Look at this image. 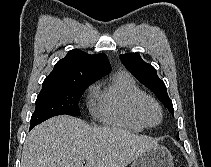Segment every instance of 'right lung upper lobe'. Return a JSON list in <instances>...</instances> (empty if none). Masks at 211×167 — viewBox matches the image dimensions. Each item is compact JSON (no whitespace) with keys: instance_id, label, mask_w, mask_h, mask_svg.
Listing matches in <instances>:
<instances>
[{"instance_id":"cb5924a9","label":"right lung upper lobe","mask_w":211,"mask_h":167,"mask_svg":"<svg viewBox=\"0 0 211 167\" xmlns=\"http://www.w3.org/2000/svg\"><path fill=\"white\" fill-rule=\"evenodd\" d=\"M111 66L104 53L90 55L79 49L68 52L59 60L42 86H63L85 80H97L109 73Z\"/></svg>"}]
</instances>
